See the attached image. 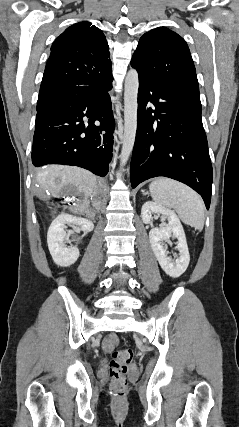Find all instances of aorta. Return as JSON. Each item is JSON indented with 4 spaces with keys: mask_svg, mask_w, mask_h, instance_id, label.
Masks as SVG:
<instances>
[{
    "mask_svg": "<svg viewBox=\"0 0 239 427\" xmlns=\"http://www.w3.org/2000/svg\"><path fill=\"white\" fill-rule=\"evenodd\" d=\"M139 76L135 69L128 71L124 92V136L120 164L124 166L132 152L137 130Z\"/></svg>",
    "mask_w": 239,
    "mask_h": 427,
    "instance_id": "1",
    "label": "aorta"
}]
</instances>
